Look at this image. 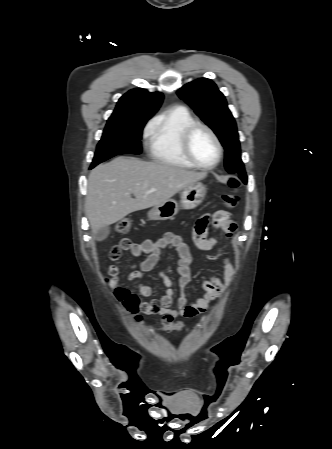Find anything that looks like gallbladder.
Segmentation results:
<instances>
[{
    "label": "gallbladder",
    "mask_w": 332,
    "mask_h": 449,
    "mask_svg": "<svg viewBox=\"0 0 332 449\" xmlns=\"http://www.w3.org/2000/svg\"><path fill=\"white\" fill-rule=\"evenodd\" d=\"M109 232H110V229H109L108 226L100 228L95 233V239L98 240V241H101V240L105 239L108 236Z\"/></svg>",
    "instance_id": "1"
}]
</instances>
